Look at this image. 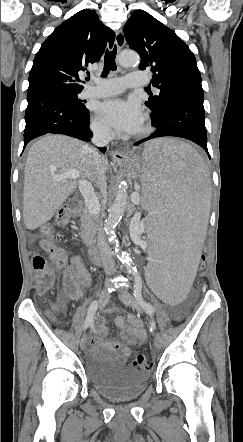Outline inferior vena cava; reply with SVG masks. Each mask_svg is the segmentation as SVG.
Instances as JSON below:
<instances>
[{"mask_svg": "<svg viewBox=\"0 0 243 442\" xmlns=\"http://www.w3.org/2000/svg\"><path fill=\"white\" fill-rule=\"evenodd\" d=\"M92 132H93L92 142L98 147H104L112 140V133L108 127L96 125L92 127ZM93 161L95 164L96 183L99 186L102 194L105 195L107 188L106 176L102 168V157L99 154V152L96 150L94 151L93 154ZM97 203L99 205L98 201ZM97 248L100 253L105 273L113 274L115 272V263L113 259V254L105 240L102 223L99 219H98Z\"/></svg>", "mask_w": 243, "mask_h": 442, "instance_id": "inferior-vena-cava-1", "label": "inferior vena cava"}]
</instances>
